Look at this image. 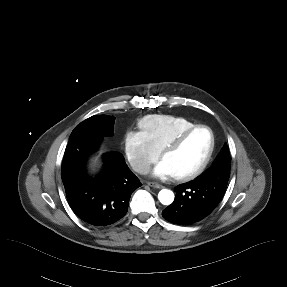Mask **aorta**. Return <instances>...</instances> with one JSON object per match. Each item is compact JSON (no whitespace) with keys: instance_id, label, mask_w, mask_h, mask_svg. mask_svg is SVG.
Returning a JSON list of instances; mask_svg holds the SVG:
<instances>
[{"instance_id":"1","label":"aorta","mask_w":287,"mask_h":287,"mask_svg":"<svg viewBox=\"0 0 287 287\" xmlns=\"http://www.w3.org/2000/svg\"><path fill=\"white\" fill-rule=\"evenodd\" d=\"M158 199L163 205H170L174 201V193L168 189H162L158 193Z\"/></svg>"}]
</instances>
